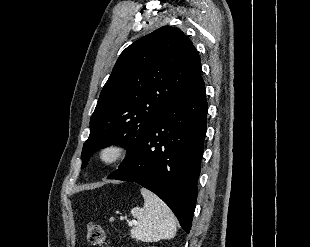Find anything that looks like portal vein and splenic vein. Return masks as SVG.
Returning <instances> with one entry per match:
<instances>
[{
  "label": "portal vein and splenic vein",
  "instance_id": "obj_1",
  "mask_svg": "<svg viewBox=\"0 0 310 247\" xmlns=\"http://www.w3.org/2000/svg\"><path fill=\"white\" fill-rule=\"evenodd\" d=\"M133 224H136V221H130L129 225L132 226Z\"/></svg>",
  "mask_w": 310,
  "mask_h": 247
}]
</instances>
